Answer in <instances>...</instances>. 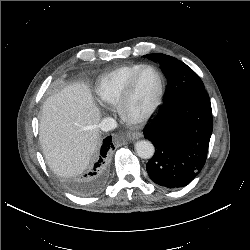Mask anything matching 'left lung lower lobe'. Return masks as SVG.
<instances>
[{"label":"left lung lower lobe","instance_id":"1","mask_svg":"<svg viewBox=\"0 0 250 250\" xmlns=\"http://www.w3.org/2000/svg\"><path fill=\"white\" fill-rule=\"evenodd\" d=\"M212 129L211 103L205 89L165 102L143 132L155 146L146 165L149 177L167 188L188 185L205 164Z\"/></svg>","mask_w":250,"mask_h":250}]
</instances>
